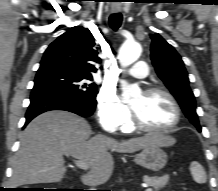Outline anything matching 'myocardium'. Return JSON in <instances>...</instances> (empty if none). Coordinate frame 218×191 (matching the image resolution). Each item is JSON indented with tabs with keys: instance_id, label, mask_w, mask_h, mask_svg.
I'll return each instance as SVG.
<instances>
[{
	"instance_id": "obj_1",
	"label": "myocardium",
	"mask_w": 218,
	"mask_h": 191,
	"mask_svg": "<svg viewBox=\"0 0 218 191\" xmlns=\"http://www.w3.org/2000/svg\"><path fill=\"white\" fill-rule=\"evenodd\" d=\"M145 95H163L165 96L171 103L174 112H175V118L174 121L172 122V124H170L169 126L165 127V128H150L145 126L140 119L138 118V116L136 115V113L134 112V110L131 108V126L133 129L141 131V132H146V133H151V134H163V133H169L171 131H173L175 128H177V126L180 124L181 122V118H182V112H181V108L179 103L177 102V100L175 99V97L168 92L165 89L162 88H158V87H149L147 88L144 92Z\"/></svg>"
}]
</instances>
